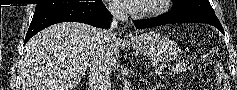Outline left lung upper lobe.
I'll return each instance as SVG.
<instances>
[{"label":"left lung upper lobe","mask_w":237,"mask_h":90,"mask_svg":"<svg viewBox=\"0 0 237 90\" xmlns=\"http://www.w3.org/2000/svg\"><path fill=\"white\" fill-rule=\"evenodd\" d=\"M172 11L191 12L217 18L208 0H173Z\"/></svg>","instance_id":"obj_1"}]
</instances>
